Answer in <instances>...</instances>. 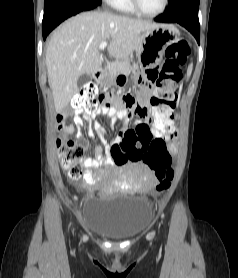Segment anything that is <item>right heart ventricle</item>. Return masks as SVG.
<instances>
[{"label": "right heart ventricle", "instance_id": "e07e8e85", "mask_svg": "<svg viewBox=\"0 0 238 278\" xmlns=\"http://www.w3.org/2000/svg\"><path fill=\"white\" fill-rule=\"evenodd\" d=\"M113 7L123 13L132 14L135 12L130 0H117Z\"/></svg>", "mask_w": 238, "mask_h": 278}]
</instances>
